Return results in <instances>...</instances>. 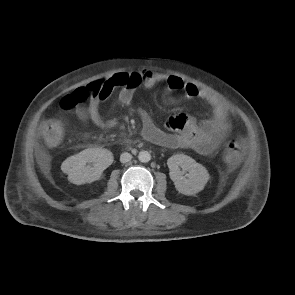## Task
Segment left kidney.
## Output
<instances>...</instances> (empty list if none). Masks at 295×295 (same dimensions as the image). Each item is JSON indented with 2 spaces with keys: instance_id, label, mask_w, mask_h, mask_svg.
Masks as SVG:
<instances>
[{
  "instance_id": "1",
  "label": "left kidney",
  "mask_w": 295,
  "mask_h": 295,
  "mask_svg": "<svg viewBox=\"0 0 295 295\" xmlns=\"http://www.w3.org/2000/svg\"><path fill=\"white\" fill-rule=\"evenodd\" d=\"M167 165L170 178L174 182L176 190L181 194L195 195L203 190L209 180L206 168L187 155H173L167 160ZM184 171L189 172L187 178L183 176Z\"/></svg>"
}]
</instances>
